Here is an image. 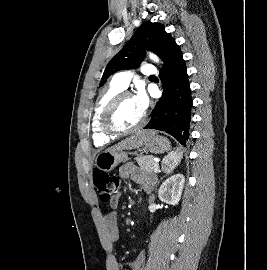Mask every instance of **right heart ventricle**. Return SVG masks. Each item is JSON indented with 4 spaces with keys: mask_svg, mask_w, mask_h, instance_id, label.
I'll use <instances>...</instances> for the list:
<instances>
[{
    "mask_svg": "<svg viewBox=\"0 0 267 270\" xmlns=\"http://www.w3.org/2000/svg\"><path fill=\"white\" fill-rule=\"evenodd\" d=\"M122 90L123 89H121L112 81L109 86L101 93L95 104L92 116L91 130L93 142L98 147L105 146L114 139V137L107 136L105 133H103L100 120L105 106L113 97L122 92Z\"/></svg>",
    "mask_w": 267,
    "mask_h": 270,
    "instance_id": "1",
    "label": "right heart ventricle"
}]
</instances>
